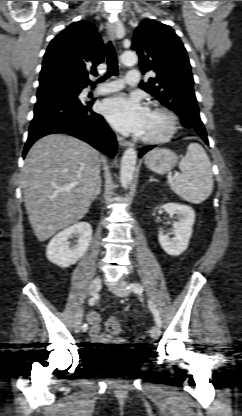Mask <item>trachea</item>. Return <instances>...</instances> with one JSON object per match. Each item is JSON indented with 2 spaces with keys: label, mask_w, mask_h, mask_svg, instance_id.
Listing matches in <instances>:
<instances>
[{
  "label": "trachea",
  "mask_w": 242,
  "mask_h": 416,
  "mask_svg": "<svg viewBox=\"0 0 242 416\" xmlns=\"http://www.w3.org/2000/svg\"><path fill=\"white\" fill-rule=\"evenodd\" d=\"M106 57H107L108 70H107L106 74L97 81L98 83L105 81L111 75H117L118 74V60H117V55H116L115 49H114V47H113V45H112V43L110 41L107 44ZM87 83L89 85L93 86V87L96 84V83L91 82V81H87Z\"/></svg>",
  "instance_id": "trachea-1"
}]
</instances>
